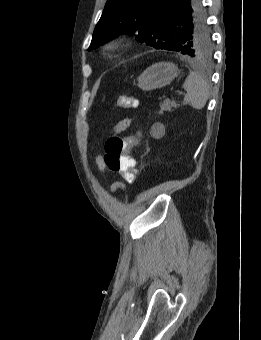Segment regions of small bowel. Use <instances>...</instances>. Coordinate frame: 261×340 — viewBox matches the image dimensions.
I'll return each mask as SVG.
<instances>
[{
	"label": "small bowel",
	"instance_id": "obj_1",
	"mask_svg": "<svg viewBox=\"0 0 261 340\" xmlns=\"http://www.w3.org/2000/svg\"><path fill=\"white\" fill-rule=\"evenodd\" d=\"M131 125V119L130 118H124L122 119L116 126V132H122L124 130H126L127 128H129V126ZM96 164L98 166V169L100 171H105L106 169V165L104 163V160H103V157L101 155H98L96 157ZM125 185L124 183L122 182H114L112 185H111V190L112 191H117L119 189H122L124 188Z\"/></svg>",
	"mask_w": 261,
	"mask_h": 340
}]
</instances>
